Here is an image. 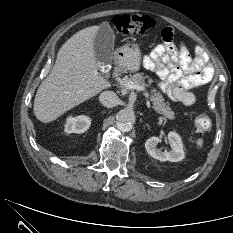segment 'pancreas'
Wrapping results in <instances>:
<instances>
[{
    "label": "pancreas",
    "instance_id": "pancreas-1",
    "mask_svg": "<svg viewBox=\"0 0 233 233\" xmlns=\"http://www.w3.org/2000/svg\"><path fill=\"white\" fill-rule=\"evenodd\" d=\"M148 79V83H145V80ZM134 82L135 84L142 85L143 87L147 86L150 87V85L153 83V80L149 78L148 76H143V73H136L131 77H123L120 79L119 86L122 89H126L125 85L127 82ZM150 100L153 103L154 110L162 114L165 118L174 120L175 119V113L171 110V108L164 102V97L160 92H158L155 88L151 89V95Z\"/></svg>",
    "mask_w": 233,
    "mask_h": 233
}]
</instances>
